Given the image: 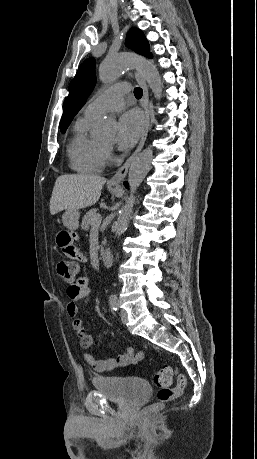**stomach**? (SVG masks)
Masks as SVG:
<instances>
[{
  "mask_svg": "<svg viewBox=\"0 0 257 459\" xmlns=\"http://www.w3.org/2000/svg\"><path fill=\"white\" fill-rule=\"evenodd\" d=\"M80 213L78 210H66L62 216L63 224L70 230H76L79 227Z\"/></svg>",
  "mask_w": 257,
  "mask_h": 459,
  "instance_id": "stomach-1",
  "label": "stomach"
}]
</instances>
